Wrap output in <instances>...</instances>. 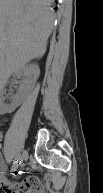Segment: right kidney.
Instances as JSON below:
<instances>
[{
  "label": "right kidney",
  "instance_id": "right-kidney-1",
  "mask_svg": "<svg viewBox=\"0 0 103 193\" xmlns=\"http://www.w3.org/2000/svg\"><path fill=\"white\" fill-rule=\"evenodd\" d=\"M20 72L26 76V79L23 80L20 84L21 89H24V93H29L33 88L37 77L39 76L40 70L38 65H27L20 69ZM4 85L1 87V96L3 97ZM24 97H21L18 101L12 104L2 103L1 109L3 113L13 112L23 101Z\"/></svg>",
  "mask_w": 103,
  "mask_h": 193
}]
</instances>
